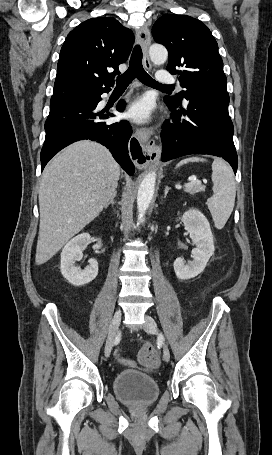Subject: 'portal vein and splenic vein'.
I'll use <instances>...</instances> for the list:
<instances>
[{
    "label": "portal vein and splenic vein",
    "mask_w": 272,
    "mask_h": 455,
    "mask_svg": "<svg viewBox=\"0 0 272 455\" xmlns=\"http://www.w3.org/2000/svg\"><path fill=\"white\" fill-rule=\"evenodd\" d=\"M201 181L200 180H192L191 182L185 184V188H190V187H193L194 185H201Z\"/></svg>",
    "instance_id": "1"
}]
</instances>
